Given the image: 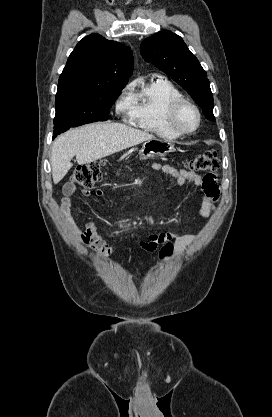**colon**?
I'll return each instance as SVG.
<instances>
[{
	"label": "colon",
	"instance_id": "colon-1",
	"mask_svg": "<svg viewBox=\"0 0 272 417\" xmlns=\"http://www.w3.org/2000/svg\"><path fill=\"white\" fill-rule=\"evenodd\" d=\"M104 162H90L77 166L71 173V182L83 187H91L103 177ZM220 166L218 153L211 150L196 156L186 163V167L193 172H205L212 174ZM142 247V246H141ZM146 252H152L151 248L142 247ZM175 250L172 241H167L159 249V257L163 261L171 259Z\"/></svg>",
	"mask_w": 272,
	"mask_h": 417
}]
</instances>
